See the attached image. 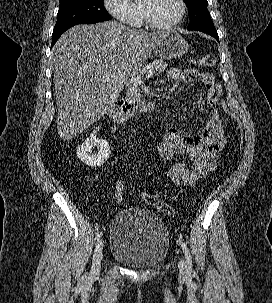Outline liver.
Listing matches in <instances>:
<instances>
[{
  "label": "liver",
  "mask_w": 272,
  "mask_h": 303,
  "mask_svg": "<svg viewBox=\"0 0 272 303\" xmlns=\"http://www.w3.org/2000/svg\"><path fill=\"white\" fill-rule=\"evenodd\" d=\"M166 35L116 21L67 30L52 49L60 137L71 140L99 120Z\"/></svg>",
  "instance_id": "1"
}]
</instances>
